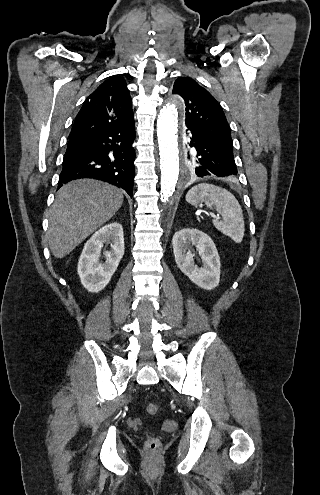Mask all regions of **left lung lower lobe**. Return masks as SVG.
Listing matches in <instances>:
<instances>
[{
  "label": "left lung lower lobe",
  "instance_id": "0a47b994",
  "mask_svg": "<svg viewBox=\"0 0 320 495\" xmlns=\"http://www.w3.org/2000/svg\"><path fill=\"white\" fill-rule=\"evenodd\" d=\"M190 146L199 153L196 175L198 177H227L237 174L233 151L225 149L215 141L186 124Z\"/></svg>",
  "mask_w": 320,
  "mask_h": 495
}]
</instances>
